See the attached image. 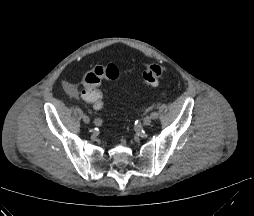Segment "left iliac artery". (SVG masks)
I'll return each mask as SVG.
<instances>
[{"mask_svg":"<svg viewBox=\"0 0 254 216\" xmlns=\"http://www.w3.org/2000/svg\"><path fill=\"white\" fill-rule=\"evenodd\" d=\"M150 116H151V118L153 119V120H155V119H157L158 117H159V113L157 112V111H152L151 113H150Z\"/></svg>","mask_w":254,"mask_h":216,"instance_id":"left-iliac-artery-1","label":"left iliac artery"}]
</instances>
